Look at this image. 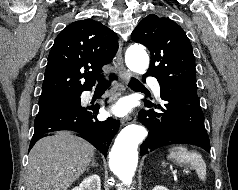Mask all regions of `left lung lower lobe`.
<instances>
[{"instance_id":"1","label":"left lung lower lobe","mask_w":238,"mask_h":190,"mask_svg":"<svg viewBox=\"0 0 238 190\" xmlns=\"http://www.w3.org/2000/svg\"><path fill=\"white\" fill-rule=\"evenodd\" d=\"M160 96L162 104L145 101L149 109L139 112L140 122L149 130L141 155L171 144L196 145L210 152L197 93L161 88Z\"/></svg>"}]
</instances>
